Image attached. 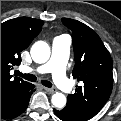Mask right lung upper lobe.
Masks as SVG:
<instances>
[{"mask_svg":"<svg viewBox=\"0 0 121 121\" xmlns=\"http://www.w3.org/2000/svg\"><path fill=\"white\" fill-rule=\"evenodd\" d=\"M43 23L40 19L19 17L1 24V102L29 84L18 77L12 79L10 70L21 63L20 52L40 33Z\"/></svg>","mask_w":121,"mask_h":121,"instance_id":"right-lung-upper-lobe-1","label":"right lung upper lobe"}]
</instances>
